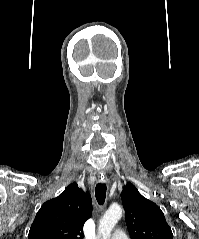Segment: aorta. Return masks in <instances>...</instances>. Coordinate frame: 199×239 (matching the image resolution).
I'll list each match as a JSON object with an SVG mask.
<instances>
[{"mask_svg": "<svg viewBox=\"0 0 199 239\" xmlns=\"http://www.w3.org/2000/svg\"><path fill=\"white\" fill-rule=\"evenodd\" d=\"M122 217V208L117 205H111L99 222L98 232L102 239H109L114 226Z\"/></svg>", "mask_w": 199, "mask_h": 239, "instance_id": "762f6f07", "label": "aorta"}]
</instances>
